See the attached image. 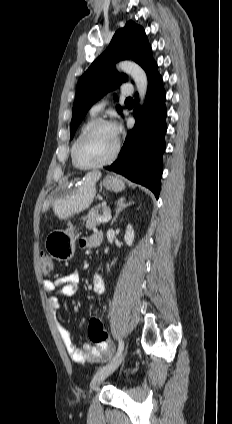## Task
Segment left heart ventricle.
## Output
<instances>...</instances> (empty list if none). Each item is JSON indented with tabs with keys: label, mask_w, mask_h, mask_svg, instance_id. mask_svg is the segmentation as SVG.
I'll return each mask as SVG.
<instances>
[{
	"label": "left heart ventricle",
	"mask_w": 232,
	"mask_h": 424,
	"mask_svg": "<svg viewBox=\"0 0 232 424\" xmlns=\"http://www.w3.org/2000/svg\"><path fill=\"white\" fill-rule=\"evenodd\" d=\"M117 133L112 127H100L92 132L80 145L78 156L85 164L97 163L107 158L114 150Z\"/></svg>",
	"instance_id": "left-heart-ventricle-1"
}]
</instances>
